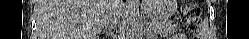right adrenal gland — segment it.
<instances>
[{
    "label": "right adrenal gland",
    "mask_w": 249,
    "mask_h": 39,
    "mask_svg": "<svg viewBox=\"0 0 249 39\" xmlns=\"http://www.w3.org/2000/svg\"><path fill=\"white\" fill-rule=\"evenodd\" d=\"M104 32H106L108 35L112 34V31L108 30L107 28H106V30L104 29Z\"/></svg>",
    "instance_id": "right-adrenal-gland-1"
}]
</instances>
